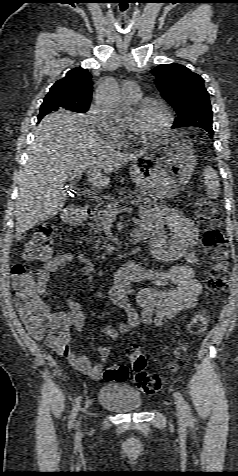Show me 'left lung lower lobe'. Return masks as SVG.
Returning a JSON list of instances; mask_svg holds the SVG:
<instances>
[{"label":"left lung lower lobe","instance_id":"left-lung-lower-lobe-1","mask_svg":"<svg viewBox=\"0 0 238 476\" xmlns=\"http://www.w3.org/2000/svg\"><path fill=\"white\" fill-rule=\"evenodd\" d=\"M201 128H203V127H201ZM203 129H205L210 134L211 138L213 137V129L212 128L204 127Z\"/></svg>","mask_w":238,"mask_h":476}]
</instances>
